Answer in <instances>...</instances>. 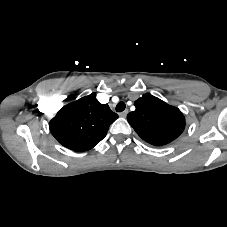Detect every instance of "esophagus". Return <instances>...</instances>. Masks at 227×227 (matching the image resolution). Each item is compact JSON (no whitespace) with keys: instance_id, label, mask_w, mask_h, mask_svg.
<instances>
[{"instance_id":"esophagus-1","label":"esophagus","mask_w":227,"mask_h":227,"mask_svg":"<svg viewBox=\"0 0 227 227\" xmlns=\"http://www.w3.org/2000/svg\"><path fill=\"white\" fill-rule=\"evenodd\" d=\"M127 114H128V110L126 109V110H124L123 112H121L119 115H120V117H126L127 116Z\"/></svg>"}]
</instances>
